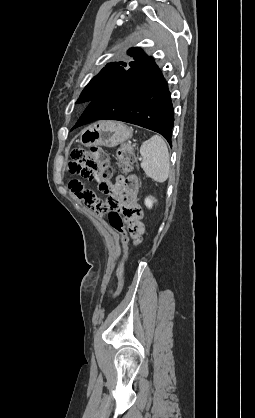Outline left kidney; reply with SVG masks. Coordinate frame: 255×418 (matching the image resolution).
Here are the masks:
<instances>
[{
	"instance_id": "obj_1",
	"label": "left kidney",
	"mask_w": 255,
	"mask_h": 418,
	"mask_svg": "<svg viewBox=\"0 0 255 418\" xmlns=\"http://www.w3.org/2000/svg\"><path fill=\"white\" fill-rule=\"evenodd\" d=\"M154 202H156V200L153 198V197H147L146 199H145V205L148 207V208H152V206H153V203Z\"/></svg>"
}]
</instances>
